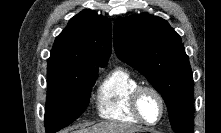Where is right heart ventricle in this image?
Returning a JSON list of instances; mask_svg holds the SVG:
<instances>
[{
	"mask_svg": "<svg viewBox=\"0 0 221 133\" xmlns=\"http://www.w3.org/2000/svg\"><path fill=\"white\" fill-rule=\"evenodd\" d=\"M128 69L117 67L101 81L96 93V109L100 117L122 123L138 124L130 106L133 91L140 86Z\"/></svg>",
	"mask_w": 221,
	"mask_h": 133,
	"instance_id": "e07e8e85",
	"label": "right heart ventricle"
}]
</instances>
